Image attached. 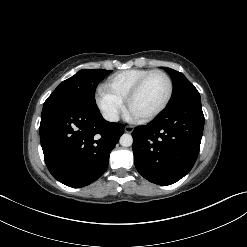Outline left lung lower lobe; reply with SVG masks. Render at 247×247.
<instances>
[{
    "instance_id": "0a47b994",
    "label": "left lung lower lobe",
    "mask_w": 247,
    "mask_h": 247,
    "mask_svg": "<svg viewBox=\"0 0 247 247\" xmlns=\"http://www.w3.org/2000/svg\"><path fill=\"white\" fill-rule=\"evenodd\" d=\"M204 128L201 101H189L167 108L146 126L132 133L134 162L145 179L170 185L193 167Z\"/></svg>"
}]
</instances>
